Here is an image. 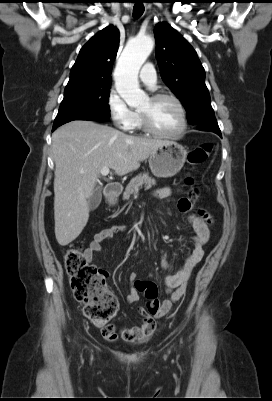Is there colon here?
I'll return each instance as SVG.
<instances>
[{
    "label": "colon",
    "mask_w": 272,
    "mask_h": 401,
    "mask_svg": "<svg viewBox=\"0 0 272 401\" xmlns=\"http://www.w3.org/2000/svg\"><path fill=\"white\" fill-rule=\"evenodd\" d=\"M213 149L211 143H203L190 151L188 162L191 165L203 163ZM185 183L191 187L190 197L195 199L199 190L195 187L192 177H188ZM65 270L70 278V286L74 298L84 305L85 316L96 326L103 328V335L107 338L112 334L110 320L114 316L118 303L116 298L105 288L103 272L87 262L81 248L70 247L65 253ZM146 297L155 295L154 283L146 282L138 284ZM158 310L157 305L148 302L145 309H141L142 315H150Z\"/></svg>",
    "instance_id": "colon-1"
}]
</instances>
